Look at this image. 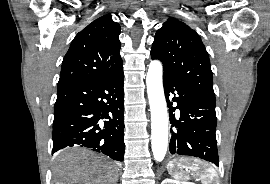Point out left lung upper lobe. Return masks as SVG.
Wrapping results in <instances>:
<instances>
[{"label": "left lung upper lobe", "mask_w": 270, "mask_h": 184, "mask_svg": "<svg viewBox=\"0 0 270 184\" xmlns=\"http://www.w3.org/2000/svg\"><path fill=\"white\" fill-rule=\"evenodd\" d=\"M165 72L176 75L215 102L209 55L200 36L182 21L170 17L156 32L151 50Z\"/></svg>", "instance_id": "1"}]
</instances>
